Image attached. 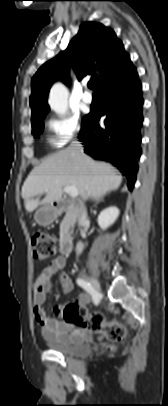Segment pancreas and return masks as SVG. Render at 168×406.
<instances>
[{
  "label": "pancreas",
  "mask_w": 168,
  "mask_h": 406,
  "mask_svg": "<svg viewBox=\"0 0 168 406\" xmlns=\"http://www.w3.org/2000/svg\"><path fill=\"white\" fill-rule=\"evenodd\" d=\"M73 218V212L68 211L60 225V234H63L64 231L69 227L70 220Z\"/></svg>",
  "instance_id": "cf45deb5"
}]
</instances>
